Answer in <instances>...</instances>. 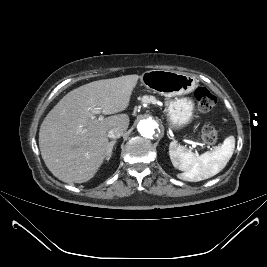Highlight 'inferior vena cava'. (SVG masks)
Returning <instances> with one entry per match:
<instances>
[{"label":"inferior vena cava","instance_id":"602c4592","mask_svg":"<svg viewBox=\"0 0 267 267\" xmlns=\"http://www.w3.org/2000/svg\"><path fill=\"white\" fill-rule=\"evenodd\" d=\"M124 132L122 127H113L108 131V137L112 139L120 138Z\"/></svg>","mask_w":267,"mask_h":267}]
</instances>
